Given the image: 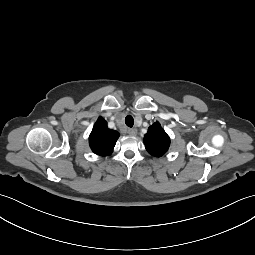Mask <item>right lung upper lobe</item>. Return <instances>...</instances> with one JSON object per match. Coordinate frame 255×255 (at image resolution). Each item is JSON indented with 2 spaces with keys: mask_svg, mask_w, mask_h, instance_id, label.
<instances>
[{
  "mask_svg": "<svg viewBox=\"0 0 255 255\" xmlns=\"http://www.w3.org/2000/svg\"><path fill=\"white\" fill-rule=\"evenodd\" d=\"M119 133L107 127V122L99 117L89 136V144L92 151L101 156L110 155L113 152Z\"/></svg>",
  "mask_w": 255,
  "mask_h": 255,
  "instance_id": "right-lung-upper-lobe-1",
  "label": "right lung upper lobe"
}]
</instances>
